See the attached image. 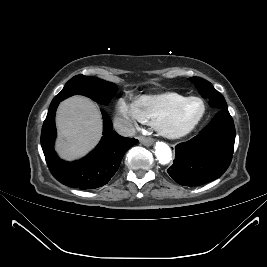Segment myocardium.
<instances>
[{"label":"myocardium","instance_id":"myocardium-1","mask_svg":"<svg viewBox=\"0 0 267 267\" xmlns=\"http://www.w3.org/2000/svg\"><path fill=\"white\" fill-rule=\"evenodd\" d=\"M191 100H198L202 104V111L199 117L192 122L190 125L183 129L175 130L170 127V123L174 120V118L177 116V114L181 111V109L185 106L186 103H188ZM207 111V106L205 101L198 96H189L183 99L180 103H178L175 107H173L169 112H167L165 115L160 117L154 126L156 127L157 131L164 137L169 139H179L182 137H185L189 133H191L203 120L205 114Z\"/></svg>","mask_w":267,"mask_h":267}]
</instances>
